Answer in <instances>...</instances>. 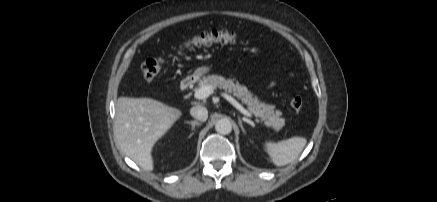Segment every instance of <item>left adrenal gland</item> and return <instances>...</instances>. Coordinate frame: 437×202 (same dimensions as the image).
Here are the masks:
<instances>
[{"label": "left adrenal gland", "mask_w": 437, "mask_h": 202, "mask_svg": "<svg viewBox=\"0 0 437 202\" xmlns=\"http://www.w3.org/2000/svg\"><path fill=\"white\" fill-rule=\"evenodd\" d=\"M238 119H239V125H240L241 129H242V131L245 133V129H244L243 126H242V120H241L240 117H239Z\"/></svg>", "instance_id": "obj_1"}]
</instances>
